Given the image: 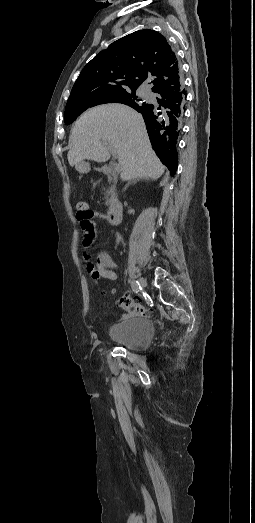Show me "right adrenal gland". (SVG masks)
<instances>
[{
    "label": "right adrenal gland",
    "instance_id": "1",
    "mask_svg": "<svg viewBox=\"0 0 255 523\" xmlns=\"http://www.w3.org/2000/svg\"><path fill=\"white\" fill-rule=\"evenodd\" d=\"M137 180H139V178H135V180H132V182H137ZM132 182H128V184H126L125 188H123V190H127L129 184H132Z\"/></svg>",
    "mask_w": 255,
    "mask_h": 523
}]
</instances>
